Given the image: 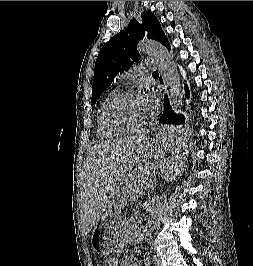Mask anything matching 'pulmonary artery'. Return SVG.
Segmentation results:
<instances>
[{"instance_id": "1", "label": "pulmonary artery", "mask_w": 253, "mask_h": 266, "mask_svg": "<svg viewBox=\"0 0 253 266\" xmlns=\"http://www.w3.org/2000/svg\"><path fill=\"white\" fill-rule=\"evenodd\" d=\"M153 65H154L153 61H149V60L143 61L142 64L135 65L133 67L132 72L124 74L123 77H124L125 80H130V79L134 78L135 76H137L140 73H144V72H146L148 70L153 69Z\"/></svg>"}]
</instances>
